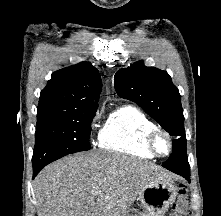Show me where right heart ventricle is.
Segmentation results:
<instances>
[{
  "label": "right heart ventricle",
  "mask_w": 221,
  "mask_h": 216,
  "mask_svg": "<svg viewBox=\"0 0 221 216\" xmlns=\"http://www.w3.org/2000/svg\"><path fill=\"white\" fill-rule=\"evenodd\" d=\"M155 127L145 112L133 105H123L106 118L98 134V146L104 150L134 157L152 159L144 136Z\"/></svg>",
  "instance_id": "right-heart-ventricle-1"
}]
</instances>
